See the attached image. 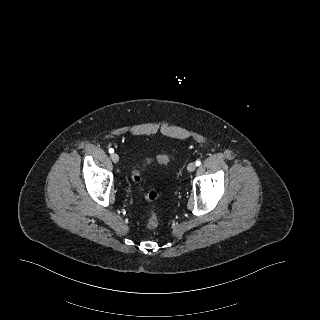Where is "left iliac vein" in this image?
Wrapping results in <instances>:
<instances>
[{"label":"left iliac vein","mask_w":320,"mask_h":320,"mask_svg":"<svg viewBox=\"0 0 320 320\" xmlns=\"http://www.w3.org/2000/svg\"><path fill=\"white\" fill-rule=\"evenodd\" d=\"M187 169L189 172H193L196 169V164L193 162L189 163Z\"/></svg>","instance_id":"4c4485c4"}]
</instances>
